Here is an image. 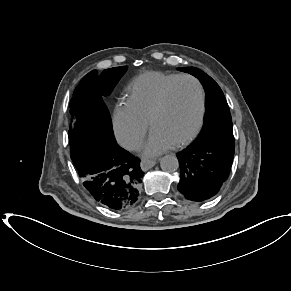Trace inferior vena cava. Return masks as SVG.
I'll use <instances>...</instances> for the list:
<instances>
[{
    "label": "inferior vena cava",
    "mask_w": 291,
    "mask_h": 291,
    "mask_svg": "<svg viewBox=\"0 0 291 291\" xmlns=\"http://www.w3.org/2000/svg\"><path fill=\"white\" fill-rule=\"evenodd\" d=\"M141 145H142V141L140 139H133V140L126 142V144L124 146L128 150H137L141 147Z\"/></svg>",
    "instance_id": "inferior-vena-cava-1"
}]
</instances>
